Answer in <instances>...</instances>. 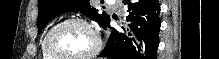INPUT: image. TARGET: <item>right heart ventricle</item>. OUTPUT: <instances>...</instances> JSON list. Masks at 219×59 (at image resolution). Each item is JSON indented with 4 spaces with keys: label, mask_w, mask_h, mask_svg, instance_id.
I'll use <instances>...</instances> for the list:
<instances>
[{
    "label": "right heart ventricle",
    "mask_w": 219,
    "mask_h": 59,
    "mask_svg": "<svg viewBox=\"0 0 219 59\" xmlns=\"http://www.w3.org/2000/svg\"><path fill=\"white\" fill-rule=\"evenodd\" d=\"M47 32L44 34L40 42L41 58L42 59H54L52 56H50V54L46 50L45 39H46Z\"/></svg>",
    "instance_id": "right-heart-ventricle-1"
}]
</instances>
